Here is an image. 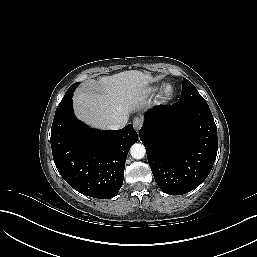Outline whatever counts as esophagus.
<instances>
[{
	"label": "esophagus",
	"instance_id": "34e87169",
	"mask_svg": "<svg viewBox=\"0 0 257 257\" xmlns=\"http://www.w3.org/2000/svg\"><path fill=\"white\" fill-rule=\"evenodd\" d=\"M133 127L135 128V130L136 131H139L140 130V128H141V126H142V124H143V121H142V119L141 118H135L134 120H133Z\"/></svg>",
	"mask_w": 257,
	"mask_h": 257
}]
</instances>
